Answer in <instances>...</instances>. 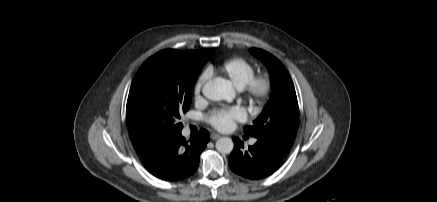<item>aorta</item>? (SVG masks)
I'll return each mask as SVG.
<instances>
[{
	"instance_id": "1",
	"label": "aorta",
	"mask_w": 437,
	"mask_h": 202,
	"mask_svg": "<svg viewBox=\"0 0 437 202\" xmlns=\"http://www.w3.org/2000/svg\"><path fill=\"white\" fill-rule=\"evenodd\" d=\"M203 95L213 101H232L235 97L231 83L225 79L218 78L207 82L202 88ZM234 148V143L229 137H222L216 141V149L222 154H229Z\"/></svg>"
}]
</instances>
